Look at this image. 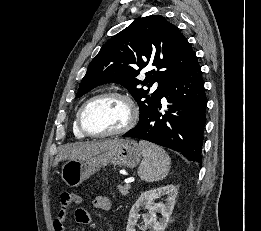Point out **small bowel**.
<instances>
[{"instance_id":"obj_1","label":"small bowel","mask_w":261,"mask_h":231,"mask_svg":"<svg viewBox=\"0 0 261 231\" xmlns=\"http://www.w3.org/2000/svg\"><path fill=\"white\" fill-rule=\"evenodd\" d=\"M80 199V197H78ZM93 206L97 209L101 210H109L110 209V200L105 196H96L93 200ZM66 215L62 212H58L57 216L53 222V226L55 231H64V221ZM75 219L77 223L81 226H86L91 223V214L85 208H78L75 211Z\"/></svg>"}]
</instances>
